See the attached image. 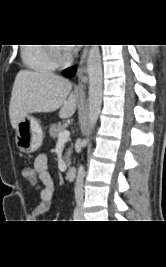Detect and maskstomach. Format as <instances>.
I'll use <instances>...</instances> for the list:
<instances>
[{"instance_id":"1","label":"stomach","mask_w":166,"mask_h":267,"mask_svg":"<svg viewBox=\"0 0 166 267\" xmlns=\"http://www.w3.org/2000/svg\"><path fill=\"white\" fill-rule=\"evenodd\" d=\"M42 141L43 131L39 121L27 115L16 127V146L24 153H32L40 148Z\"/></svg>"}]
</instances>
